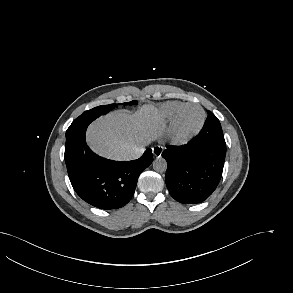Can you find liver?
<instances>
[{
  "instance_id": "obj_1",
  "label": "liver",
  "mask_w": 293,
  "mask_h": 293,
  "mask_svg": "<svg viewBox=\"0 0 293 293\" xmlns=\"http://www.w3.org/2000/svg\"><path fill=\"white\" fill-rule=\"evenodd\" d=\"M164 119L153 105H144L134 114L114 111L93 122L87 130V143L101 156L125 160L129 150L145 147L162 135Z\"/></svg>"
}]
</instances>
